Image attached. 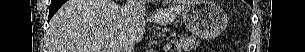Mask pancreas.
Masks as SVG:
<instances>
[{
  "label": "pancreas",
  "instance_id": "1",
  "mask_svg": "<svg viewBox=\"0 0 305 52\" xmlns=\"http://www.w3.org/2000/svg\"><path fill=\"white\" fill-rule=\"evenodd\" d=\"M172 43L175 46V49L177 52H181L182 50H185V52H189L192 49H195L198 44L199 40L196 39L194 36L189 35H180L178 39H174Z\"/></svg>",
  "mask_w": 305,
  "mask_h": 52
}]
</instances>
